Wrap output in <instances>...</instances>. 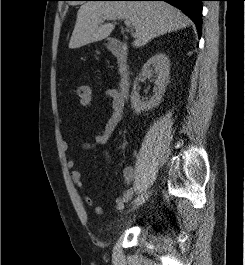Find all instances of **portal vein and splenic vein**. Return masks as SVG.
<instances>
[{"instance_id": "1", "label": "portal vein and splenic vein", "mask_w": 245, "mask_h": 265, "mask_svg": "<svg viewBox=\"0 0 245 265\" xmlns=\"http://www.w3.org/2000/svg\"><path fill=\"white\" fill-rule=\"evenodd\" d=\"M116 19H124L123 17H120V16H106V17H103L102 20H116ZM124 23L126 25V27L130 30L131 32V35L133 37H136V33H134L133 31V25H132V22L128 19H124Z\"/></svg>"}]
</instances>
